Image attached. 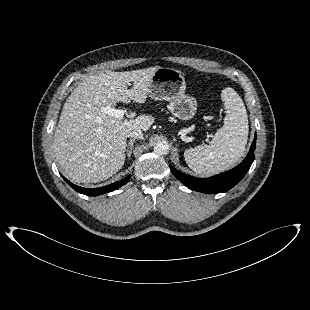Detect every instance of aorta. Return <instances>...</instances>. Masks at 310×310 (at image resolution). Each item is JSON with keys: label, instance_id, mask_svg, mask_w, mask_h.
Listing matches in <instances>:
<instances>
[{"label": "aorta", "instance_id": "762f6f07", "mask_svg": "<svg viewBox=\"0 0 310 310\" xmlns=\"http://www.w3.org/2000/svg\"><path fill=\"white\" fill-rule=\"evenodd\" d=\"M154 152L158 155H166L169 152V145L166 141H159L154 145Z\"/></svg>", "mask_w": 310, "mask_h": 310}]
</instances>
